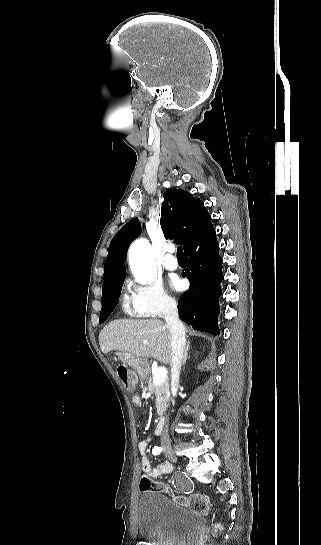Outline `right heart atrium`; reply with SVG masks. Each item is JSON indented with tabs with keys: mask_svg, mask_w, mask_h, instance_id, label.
<instances>
[{
	"mask_svg": "<svg viewBox=\"0 0 321 545\" xmlns=\"http://www.w3.org/2000/svg\"><path fill=\"white\" fill-rule=\"evenodd\" d=\"M127 296L132 312L137 317L161 318L177 308L175 298L163 290L156 277L144 284H129Z\"/></svg>",
	"mask_w": 321,
	"mask_h": 545,
	"instance_id": "1",
	"label": "right heart atrium"
}]
</instances>
